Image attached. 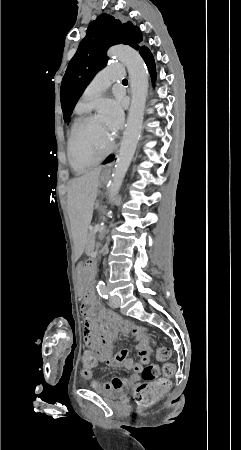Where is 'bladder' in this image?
I'll list each match as a JSON object with an SVG mask.
<instances>
[{"label":"bladder","instance_id":"obj_1","mask_svg":"<svg viewBox=\"0 0 241 450\" xmlns=\"http://www.w3.org/2000/svg\"><path fill=\"white\" fill-rule=\"evenodd\" d=\"M102 395L111 399H121L124 397V393L119 390L104 391L102 392Z\"/></svg>","mask_w":241,"mask_h":450}]
</instances>
